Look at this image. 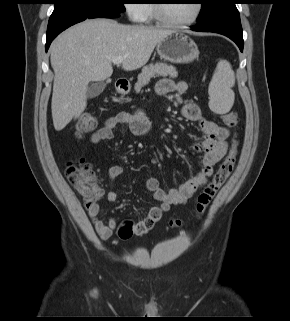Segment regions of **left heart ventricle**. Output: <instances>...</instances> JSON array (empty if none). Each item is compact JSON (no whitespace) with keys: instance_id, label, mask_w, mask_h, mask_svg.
<instances>
[{"instance_id":"left-heart-ventricle-1","label":"left heart ventricle","mask_w":290,"mask_h":321,"mask_svg":"<svg viewBox=\"0 0 290 321\" xmlns=\"http://www.w3.org/2000/svg\"><path fill=\"white\" fill-rule=\"evenodd\" d=\"M196 8L194 0H166L164 13L167 18L173 21H185L190 19Z\"/></svg>"}]
</instances>
